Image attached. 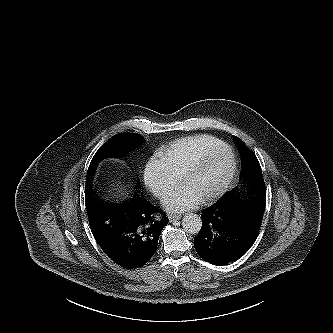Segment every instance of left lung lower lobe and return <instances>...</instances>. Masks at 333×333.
I'll use <instances>...</instances> for the list:
<instances>
[{"mask_svg": "<svg viewBox=\"0 0 333 333\" xmlns=\"http://www.w3.org/2000/svg\"><path fill=\"white\" fill-rule=\"evenodd\" d=\"M265 204L264 179L226 193L202 210V228L194 238L196 252L218 266L241 258L257 239Z\"/></svg>", "mask_w": 333, "mask_h": 333, "instance_id": "obj_1", "label": "left lung lower lobe"}]
</instances>
